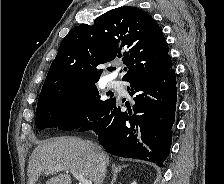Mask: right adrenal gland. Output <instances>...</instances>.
Wrapping results in <instances>:
<instances>
[{
  "label": "right adrenal gland",
  "mask_w": 224,
  "mask_h": 184,
  "mask_svg": "<svg viewBox=\"0 0 224 184\" xmlns=\"http://www.w3.org/2000/svg\"><path fill=\"white\" fill-rule=\"evenodd\" d=\"M128 165H116L115 163L112 164V171H113V178L111 181V184H114L116 179H117V175L118 173L124 168L127 167Z\"/></svg>",
  "instance_id": "right-adrenal-gland-1"
}]
</instances>
